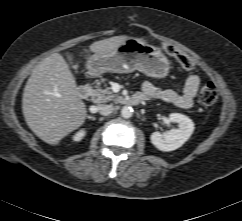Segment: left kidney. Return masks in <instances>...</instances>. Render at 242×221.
I'll use <instances>...</instances> for the list:
<instances>
[{
	"mask_svg": "<svg viewBox=\"0 0 242 221\" xmlns=\"http://www.w3.org/2000/svg\"><path fill=\"white\" fill-rule=\"evenodd\" d=\"M169 119L178 124L177 129L164 132H153L150 136L151 143L161 151H173L181 147L194 131L193 121L186 115L171 113Z\"/></svg>",
	"mask_w": 242,
	"mask_h": 221,
	"instance_id": "obj_1",
	"label": "left kidney"
}]
</instances>
